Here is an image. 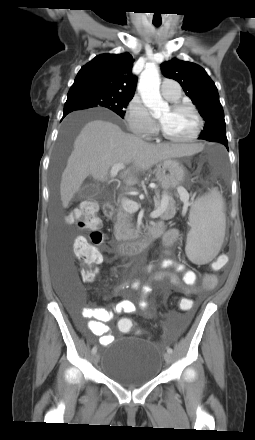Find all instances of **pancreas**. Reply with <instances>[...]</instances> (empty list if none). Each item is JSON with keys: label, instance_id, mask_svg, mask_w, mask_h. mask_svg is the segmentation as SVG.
Returning <instances> with one entry per match:
<instances>
[{"label": "pancreas", "instance_id": "1", "mask_svg": "<svg viewBox=\"0 0 255 440\" xmlns=\"http://www.w3.org/2000/svg\"><path fill=\"white\" fill-rule=\"evenodd\" d=\"M164 206V211L160 215L163 220L172 219L177 211L176 202L172 196L166 192L161 196L158 208ZM133 215L119 207L117 210L116 221L114 223V235L118 241H130L138 237V230L132 223Z\"/></svg>", "mask_w": 255, "mask_h": 440}]
</instances>
